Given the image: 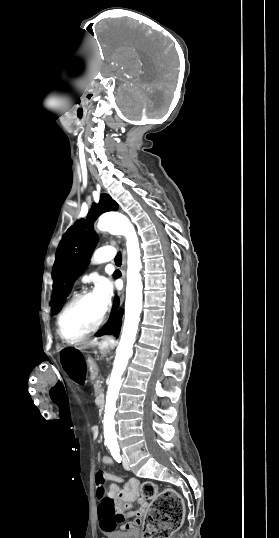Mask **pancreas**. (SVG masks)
<instances>
[{"instance_id":"cf45deb5","label":"pancreas","mask_w":279,"mask_h":538,"mask_svg":"<svg viewBox=\"0 0 279 538\" xmlns=\"http://www.w3.org/2000/svg\"><path fill=\"white\" fill-rule=\"evenodd\" d=\"M94 391H95V395L97 397H100L102 396V393L105 391V388L102 386V381L100 379H97L95 381V388H94Z\"/></svg>"}]
</instances>
